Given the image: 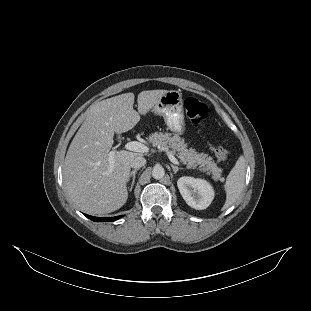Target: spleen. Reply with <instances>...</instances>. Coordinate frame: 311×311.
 <instances>
[{"mask_svg":"<svg viewBox=\"0 0 311 311\" xmlns=\"http://www.w3.org/2000/svg\"><path fill=\"white\" fill-rule=\"evenodd\" d=\"M246 162L244 155H240L223 184L226 199L221 211L229 208L240 197L245 186Z\"/></svg>","mask_w":311,"mask_h":311,"instance_id":"1","label":"spleen"}]
</instances>
